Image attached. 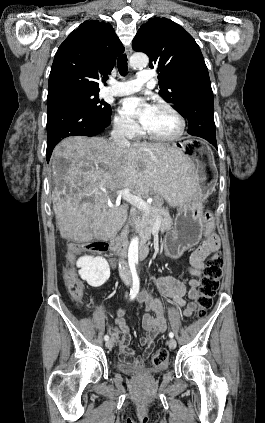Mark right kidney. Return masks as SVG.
<instances>
[{
    "label": "right kidney",
    "mask_w": 265,
    "mask_h": 423,
    "mask_svg": "<svg viewBox=\"0 0 265 423\" xmlns=\"http://www.w3.org/2000/svg\"><path fill=\"white\" fill-rule=\"evenodd\" d=\"M79 275L92 287H100L110 277V267L105 258L97 256L80 257L76 263Z\"/></svg>",
    "instance_id": "1"
}]
</instances>
